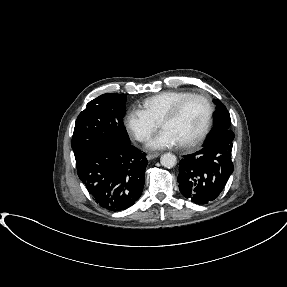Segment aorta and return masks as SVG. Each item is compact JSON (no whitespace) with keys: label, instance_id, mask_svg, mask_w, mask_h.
Segmentation results:
<instances>
[{"label":"aorta","instance_id":"1","mask_svg":"<svg viewBox=\"0 0 287 287\" xmlns=\"http://www.w3.org/2000/svg\"><path fill=\"white\" fill-rule=\"evenodd\" d=\"M160 163L166 168H173L177 163V158L172 153H165L160 158Z\"/></svg>","mask_w":287,"mask_h":287}]
</instances>
